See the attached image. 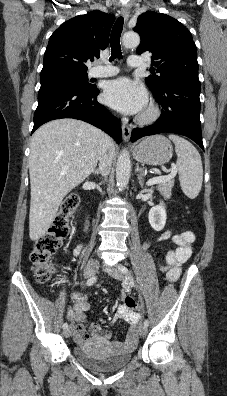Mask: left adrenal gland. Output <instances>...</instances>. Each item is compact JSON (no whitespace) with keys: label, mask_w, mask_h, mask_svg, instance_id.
I'll list each match as a JSON object with an SVG mask.
<instances>
[{"label":"left adrenal gland","mask_w":227,"mask_h":396,"mask_svg":"<svg viewBox=\"0 0 227 396\" xmlns=\"http://www.w3.org/2000/svg\"><path fill=\"white\" fill-rule=\"evenodd\" d=\"M135 172L137 173V178H138V183L141 187H143L144 185V176H145V172H144V168L139 167V164L137 163L136 165V169Z\"/></svg>","instance_id":"1"}]
</instances>
